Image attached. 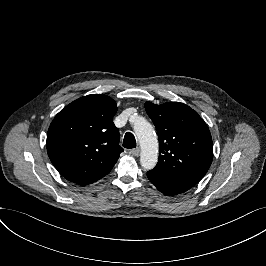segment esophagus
Returning <instances> with one entry per match:
<instances>
[{
	"instance_id": "obj_1",
	"label": "esophagus",
	"mask_w": 266,
	"mask_h": 266,
	"mask_svg": "<svg viewBox=\"0 0 266 266\" xmlns=\"http://www.w3.org/2000/svg\"><path fill=\"white\" fill-rule=\"evenodd\" d=\"M129 153L135 157L139 156L140 150L138 148L132 149L129 151Z\"/></svg>"
}]
</instances>
